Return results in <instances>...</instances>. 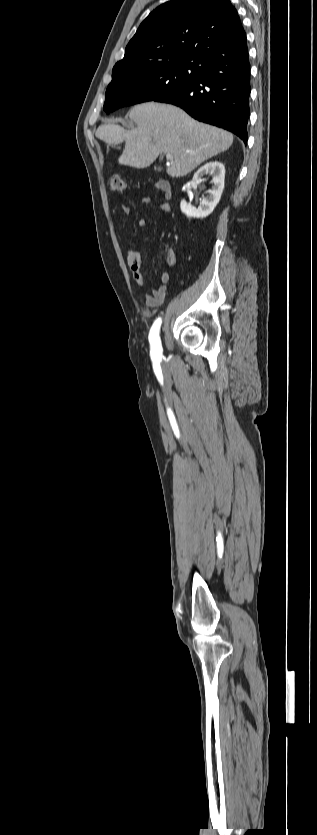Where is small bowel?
Here are the masks:
<instances>
[{"label": "small bowel", "instance_id": "obj_1", "mask_svg": "<svg viewBox=\"0 0 317 835\" xmlns=\"http://www.w3.org/2000/svg\"><path fill=\"white\" fill-rule=\"evenodd\" d=\"M163 184H164V181L158 182L156 184V188L159 192L163 193L165 199H169L171 197V194L164 189ZM142 202L145 203V204L156 205L159 209H161L164 212H170L171 211V207H170L169 204H167V203L155 204L152 201V199L150 197H147V196L142 199ZM123 210H124L125 213L129 212V209L127 207H124ZM147 224H148L147 220L142 218L138 221L137 227H138V229L142 230V229L146 228ZM165 261H166V266H167L168 269L174 267L177 264V256H176V254L173 250H169L166 253ZM127 264H128V267L130 268V270L132 272V276H133V279L136 282V284L139 287H144L145 286V279H144V276L141 272L142 257H141V251L138 248H132L128 251V253H127ZM169 281H170V274L166 270L162 273V275L160 277V285L158 287L154 288L151 291V293L147 294L146 297H145L146 306L149 309L158 308L163 304V302L166 298L167 286H168Z\"/></svg>", "mask_w": 317, "mask_h": 835}]
</instances>
